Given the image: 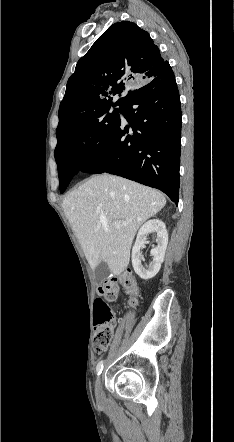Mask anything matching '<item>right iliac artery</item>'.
<instances>
[{
	"label": "right iliac artery",
	"instance_id": "1",
	"mask_svg": "<svg viewBox=\"0 0 234 442\" xmlns=\"http://www.w3.org/2000/svg\"><path fill=\"white\" fill-rule=\"evenodd\" d=\"M102 370H103V360L97 364L96 367L97 374L99 375L102 372Z\"/></svg>",
	"mask_w": 234,
	"mask_h": 442
}]
</instances>
